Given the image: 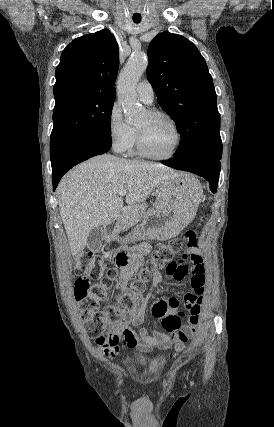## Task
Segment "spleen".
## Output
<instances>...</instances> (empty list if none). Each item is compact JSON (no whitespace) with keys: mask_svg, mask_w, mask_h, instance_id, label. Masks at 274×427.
<instances>
[{"mask_svg":"<svg viewBox=\"0 0 274 427\" xmlns=\"http://www.w3.org/2000/svg\"><path fill=\"white\" fill-rule=\"evenodd\" d=\"M191 186H193V188H201V184H199L198 180H194V182H192ZM199 200H201V196H202V192H199V194H197Z\"/></svg>","mask_w":274,"mask_h":427,"instance_id":"1","label":"spleen"}]
</instances>
